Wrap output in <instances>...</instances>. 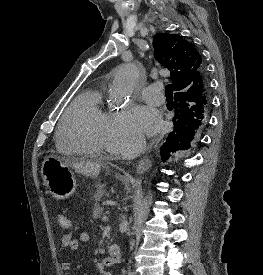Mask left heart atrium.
I'll list each match as a JSON object with an SVG mask.
<instances>
[{
    "label": "left heart atrium",
    "mask_w": 263,
    "mask_h": 275,
    "mask_svg": "<svg viewBox=\"0 0 263 275\" xmlns=\"http://www.w3.org/2000/svg\"><path fill=\"white\" fill-rule=\"evenodd\" d=\"M133 121L135 128L147 135L155 134L160 130L162 125L159 113L150 106L137 107L134 110Z\"/></svg>",
    "instance_id": "1"
}]
</instances>
